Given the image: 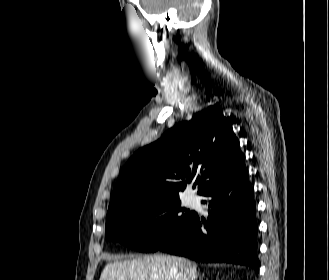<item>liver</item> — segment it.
Returning a JSON list of instances; mask_svg holds the SVG:
<instances>
[{"instance_id": "obj_1", "label": "liver", "mask_w": 329, "mask_h": 280, "mask_svg": "<svg viewBox=\"0 0 329 280\" xmlns=\"http://www.w3.org/2000/svg\"><path fill=\"white\" fill-rule=\"evenodd\" d=\"M197 265L189 259L169 255H150L108 263L99 280H195Z\"/></svg>"}]
</instances>
